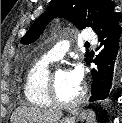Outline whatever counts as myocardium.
<instances>
[{"label":"myocardium","mask_w":122,"mask_h":123,"mask_svg":"<svg viewBox=\"0 0 122 123\" xmlns=\"http://www.w3.org/2000/svg\"><path fill=\"white\" fill-rule=\"evenodd\" d=\"M86 86L82 85L79 93L71 100H62L59 98L56 90L55 71L48 75L47 94L51 102L61 107H71L77 105L85 96Z\"/></svg>","instance_id":"f54148a6"}]
</instances>
